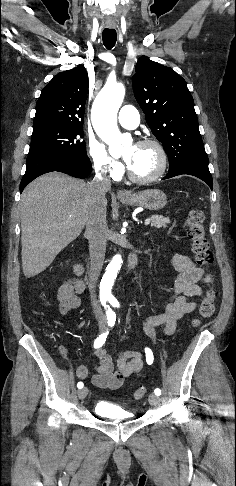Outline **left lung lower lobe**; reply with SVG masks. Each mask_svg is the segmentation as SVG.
Wrapping results in <instances>:
<instances>
[{"label": "left lung lower lobe", "instance_id": "1", "mask_svg": "<svg viewBox=\"0 0 236 486\" xmlns=\"http://www.w3.org/2000/svg\"><path fill=\"white\" fill-rule=\"evenodd\" d=\"M181 174H189V175L196 176L201 180H203L204 182H206L209 185V187L213 189V179L209 172V169L193 167V166H184L169 171L166 177H164L163 179L171 178Z\"/></svg>", "mask_w": 236, "mask_h": 486}]
</instances>
